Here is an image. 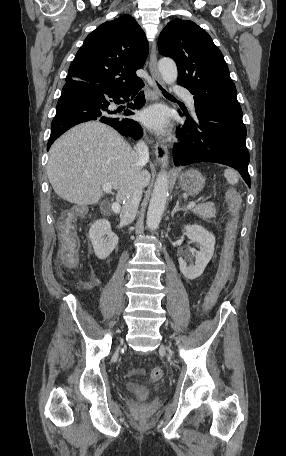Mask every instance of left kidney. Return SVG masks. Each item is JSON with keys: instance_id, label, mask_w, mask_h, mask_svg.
<instances>
[{"instance_id": "5707ae66", "label": "left kidney", "mask_w": 286, "mask_h": 456, "mask_svg": "<svg viewBox=\"0 0 286 456\" xmlns=\"http://www.w3.org/2000/svg\"><path fill=\"white\" fill-rule=\"evenodd\" d=\"M184 233L191 242L200 245V251L196 252L195 255V265L190 264L187 266L186 261L182 257L178 259L182 274L187 279L193 280L202 275L205 267L211 260L214 253L215 237L200 225H186L184 227Z\"/></svg>"}]
</instances>
